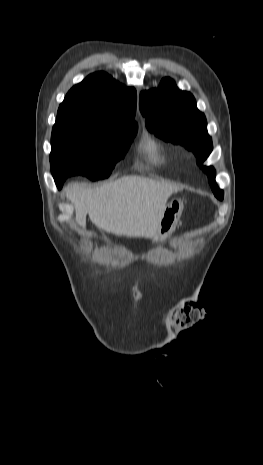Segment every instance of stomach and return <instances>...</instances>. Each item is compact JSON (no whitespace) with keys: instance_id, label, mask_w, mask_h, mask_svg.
Segmentation results:
<instances>
[{"instance_id":"stomach-1","label":"stomach","mask_w":263,"mask_h":465,"mask_svg":"<svg viewBox=\"0 0 263 465\" xmlns=\"http://www.w3.org/2000/svg\"><path fill=\"white\" fill-rule=\"evenodd\" d=\"M184 208L180 199L171 200L165 207L159 226L152 242L158 243L167 239L175 230Z\"/></svg>"}]
</instances>
